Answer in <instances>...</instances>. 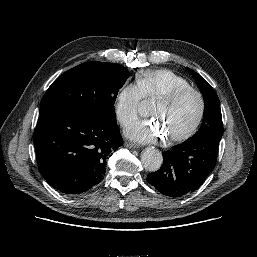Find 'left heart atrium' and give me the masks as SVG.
Wrapping results in <instances>:
<instances>
[{
  "instance_id": "1",
  "label": "left heart atrium",
  "mask_w": 257,
  "mask_h": 257,
  "mask_svg": "<svg viewBox=\"0 0 257 257\" xmlns=\"http://www.w3.org/2000/svg\"><path fill=\"white\" fill-rule=\"evenodd\" d=\"M126 132L129 137L142 142H152L162 136L160 129L149 121L136 122Z\"/></svg>"
}]
</instances>
